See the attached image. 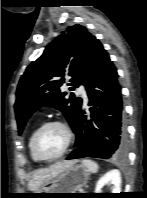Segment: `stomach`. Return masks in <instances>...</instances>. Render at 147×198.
<instances>
[{
    "mask_svg": "<svg viewBox=\"0 0 147 198\" xmlns=\"http://www.w3.org/2000/svg\"><path fill=\"white\" fill-rule=\"evenodd\" d=\"M89 174V170L83 164L72 165L32 193L36 198L63 197V194L49 193H75L87 184Z\"/></svg>",
    "mask_w": 147,
    "mask_h": 198,
    "instance_id": "1",
    "label": "stomach"
}]
</instances>
